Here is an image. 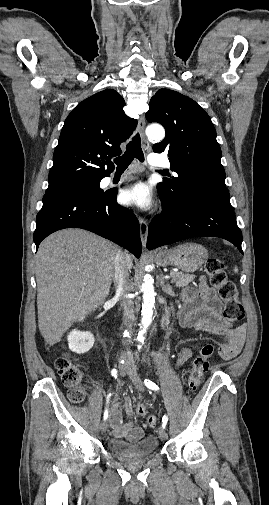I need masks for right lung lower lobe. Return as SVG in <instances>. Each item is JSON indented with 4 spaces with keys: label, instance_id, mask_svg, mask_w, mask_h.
Returning <instances> with one entry per match:
<instances>
[{
    "label": "right lung lower lobe",
    "instance_id": "right-lung-lower-lobe-1",
    "mask_svg": "<svg viewBox=\"0 0 269 505\" xmlns=\"http://www.w3.org/2000/svg\"><path fill=\"white\" fill-rule=\"evenodd\" d=\"M116 196L117 192L99 196L78 190L45 193L33 235L36 247L55 231L82 228L121 245L139 258V222L131 210L116 202Z\"/></svg>",
    "mask_w": 269,
    "mask_h": 505
}]
</instances>
